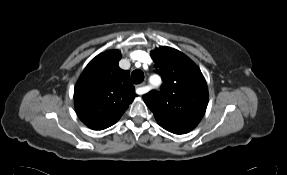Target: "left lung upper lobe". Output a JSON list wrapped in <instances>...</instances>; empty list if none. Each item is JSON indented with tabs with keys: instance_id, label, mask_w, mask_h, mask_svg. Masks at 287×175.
<instances>
[{
	"instance_id": "obj_1",
	"label": "left lung upper lobe",
	"mask_w": 287,
	"mask_h": 175,
	"mask_svg": "<svg viewBox=\"0 0 287 175\" xmlns=\"http://www.w3.org/2000/svg\"><path fill=\"white\" fill-rule=\"evenodd\" d=\"M164 81L161 92L143 95L158 124L174 134H185L195 128L208 105V88L203 74L182 52L160 47L151 52ZM160 93V94H158Z\"/></svg>"
}]
</instances>
